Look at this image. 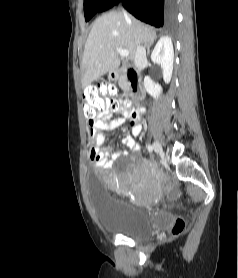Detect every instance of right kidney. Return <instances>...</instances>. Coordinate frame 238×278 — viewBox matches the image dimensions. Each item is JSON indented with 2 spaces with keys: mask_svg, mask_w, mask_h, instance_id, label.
<instances>
[{
  "mask_svg": "<svg viewBox=\"0 0 238 278\" xmlns=\"http://www.w3.org/2000/svg\"><path fill=\"white\" fill-rule=\"evenodd\" d=\"M151 60L154 64L161 65L163 79L165 83H169L172 76L174 61V50L170 37L160 38L151 54ZM145 89L155 99L158 98L162 92L161 86L152 81L149 77L145 79Z\"/></svg>",
  "mask_w": 238,
  "mask_h": 278,
  "instance_id": "ca27d5eb",
  "label": "right kidney"
}]
</instances>
